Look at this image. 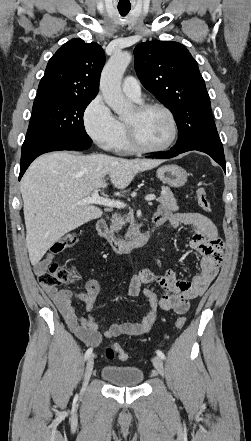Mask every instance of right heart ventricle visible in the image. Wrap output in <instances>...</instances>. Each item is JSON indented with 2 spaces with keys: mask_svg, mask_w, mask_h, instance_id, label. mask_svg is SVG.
Wrapping results in <instances>:
<instances>
[{
  "mask_svg": "<svg viewBox=\"0 0 251 441\" xmlns=\"http://www.w3.org/2000/svg\"><path fill=\"white\" fill-rule=\"evenodd\" d=\"M120 123H121V133L112 149H114L117 152H124V153L133 152L135 149L128 140L125 125L122 122Z\"/></svg>",
  "mask_w": 251,
  "mask_h": 441,
  "instance_id": "e07e8e85",
  "label": "right heart ventricle"
}]
</instances>
